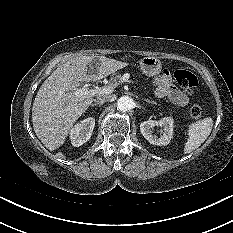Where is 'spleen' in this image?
I'll return each instance as SVG.
<instances>
[{
	"mask_svg": "<svg viewBox=\"0 0 233 233\" xmlns=\"http://www.w3.org/2000/svg\"><path fill=\"white\" fill-rule=\"evenodd\" d=\"M213 119L210 117L196 121L188 126V139L184 146V154H189L201 146L212 131Z\"/></svg>",
	"mask_w": 233,
	"mask_h": 233,
	"instance_id": "1",
	"label": "spleen"
}]
</instances>
